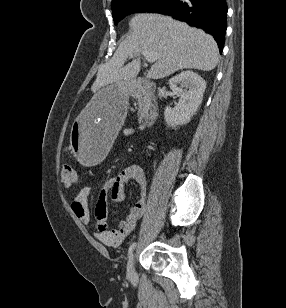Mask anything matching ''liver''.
Listing matches in <instances>:
<instances>
[{"label":"liver","instance_id":"1","mask_svg":"<svg viewBox=\"0 0 286 308\" xmlns=\"http://www.w3.org/2000/svg\"><path fill=\"white\" fill-rule=\"evenodd\" d=\"M131 34L113 57L101 64L91 90L98 93L113 84H129L140 71L143 52H156L158 59L148 77L161 79L182 69L213 70L218 63L217 43L211 35L159 14H138L129 23ZM135 59L125 64L128 56ZM91 113H86V116Z\"/></svg>","mask_w":286,"mask_h":308}]
</instances>
